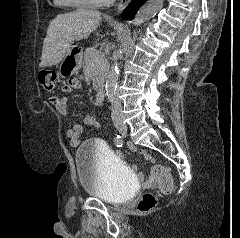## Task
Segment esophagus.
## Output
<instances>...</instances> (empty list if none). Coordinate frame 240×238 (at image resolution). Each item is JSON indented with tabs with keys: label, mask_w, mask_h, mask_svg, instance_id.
Wrapping results in <instances>:
<instances>
[{
	"label": "esophagus",
	"mask_w": 240,
	"mask_h": 238,
	"mask_svg": "<svg viewBox=\"0 0 240 238\" xmlns=\"http://www.w3.org/2000/svg\"><path fill=\"white\" fill-rule=\"evenodd\" d=\"M131 0H120L117 10H116V15H119L122 13V11L129 5Z\"/></svg>",
	"instance_id": "1"
}]
</instances>
